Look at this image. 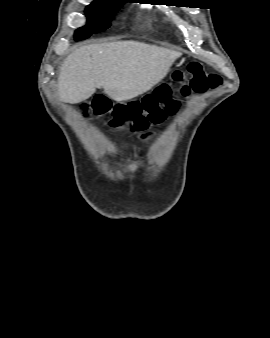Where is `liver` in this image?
<instances>
[{
    "label": "liver",
    "instance_id": "1",
    "mask_svg": "<svg viewBox=\"0 0 270 338\" xmlns=\"http://www.w3.org/2000/svg\"><path fill=\"white\" fill-rule=\"evenodd\" d=\"M180 52L137 41L91 44L63 61L58 76L61 101L80 103L96 88L116 102L135 98L158 84Z\"/></svg>",
    "mask_w": 270,
    "mask_h": 338
}]
</instances>
